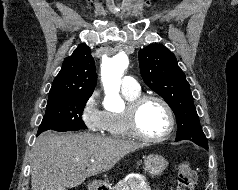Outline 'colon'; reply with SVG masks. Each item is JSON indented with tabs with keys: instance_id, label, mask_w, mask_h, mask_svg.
Listing matches in <instances>:
<instances>
[{
	"instance_id": "obj_1",
	"label": "colon",
	"mask_w": 238,
	"mask_h": 190,
	"mask_svg": "<svg viewBox=\"0 0 238 190\" xmlns=\"http://www.w3.org/2000/svg\"><path fill=\"white\" fill-rule=\"evenodd\" d=\"M196 171L188 163H180L177 167L176 190H194Z\"/></svg>"
}]
</instances>
